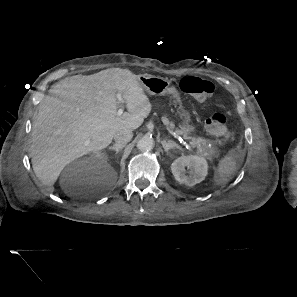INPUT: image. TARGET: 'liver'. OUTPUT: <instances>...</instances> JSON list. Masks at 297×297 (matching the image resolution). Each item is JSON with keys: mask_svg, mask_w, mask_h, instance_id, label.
I'll return each mask as SVG.
<instances>
[{"mask_svg": "<svg viewBox=\"0 0 297 297\" xmlns=\"http://www.w3.org/2000/svg\"><path fill=\"white\" fill-rule=\"evenodd\" d=\"M50 93L33 123L30 155L36 177L51 192L65 166L106 148L116 132L137 129L152 109L137 76L121 68L67 77ZM116 93L128 111L120 116Z\"/></svg>", "mask_w": 297, "mask_h": 297, "instance_id": "liver-1", "label": "liver"}]
</instances>
